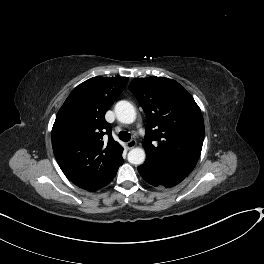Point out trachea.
Returning a JSON list of instances; mask_svg holds the SVG:
<instances>
[{
    "label": "trachea",
    "mask_w": 264,
    "mask_h": 264,
    "mask_svg": "<svg viewBox=\"0 0 264 264\" xmlns=\"http://www.w3.org/2000/svg\"><path fill=\"white\" fill-rule=\"evenodd\" d=\"M119 139L124 142H127L131 139V135L127 131H120Z\"/></svg>",
    "instance_id": "obj_1"
}]
</instances>
